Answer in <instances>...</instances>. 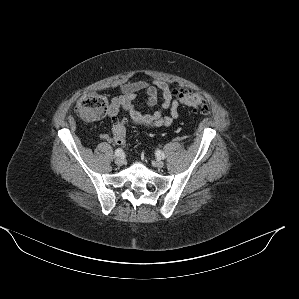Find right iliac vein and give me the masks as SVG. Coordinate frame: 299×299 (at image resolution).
I'll return each instance as SVG.
<instances>
[{
	"label": "right iliac vein",
	"instance_id": "right-iliac-vein-1",
	"mask_svg": "<svg viewBox=\"0 0 299 299\" xmlns=\"http://www.w3.org/2000/svg\"><path fill=\"white\" fill-rule=\"evenodd\" d=\"M115 163H116V165H118V166H122V165L125 164V160H124L122 157H117V158L115 159Z\"/></svg>",
	"mask_w": 299,
	"mask_h": 299
}]
</instances>
